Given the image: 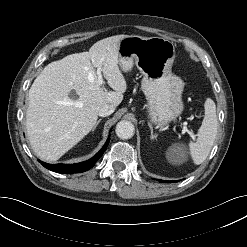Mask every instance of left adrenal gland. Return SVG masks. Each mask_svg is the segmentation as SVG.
Instances as JSON below:
<instances>
[{"mask_svg": "<svg viewBox=\"0 0 247 247\" xmlns=\"http://www.w3.org/2000/svg\"><path fill=\"white\" fill-rule=\"evenodd\" d=\"M149 127H150V133H151L150 138H151L152 140H154V139L157 138V136L153 133V127L151 126V124H149Z\"/></svg>", "mask_w": 247, "mask_h": 247, "instance_id": "obj_1", "label": "left adrenal gland"}]
</instances>
